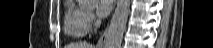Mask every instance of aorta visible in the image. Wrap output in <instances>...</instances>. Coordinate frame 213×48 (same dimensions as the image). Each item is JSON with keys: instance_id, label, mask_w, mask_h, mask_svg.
I'll return each instance as SVG.
<instances>
[{"instance_id": "obj_1", "label": "aorta", "mask_w": 213, "mask_h": 48, "mask_svg": "<svg viewBox=\"0 0 213 48\" xmlns=\"http://www.w3.org/2000/svg\"><path fill=\"white\" fill-rule=\"evenodd\" d=\"M84 3H97L98 0H78ZM131 0H118L110 25L105 34L104 48H120L130 14Z\"/></svg>"}]
</instances>
